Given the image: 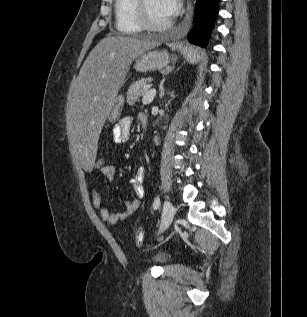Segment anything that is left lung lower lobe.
I'll return each mask as SVG.
<instances>
[{"label":"left lung lower lobe","instance_id":"0a47b994","mask_svg":"<svg viewBox=\"0 0 307 317\" xmlns=\"http://www.w3.org/2000/svg\"><path fill=\"white\" fill-rule=\"evenodd\" d=\"M219 0H197L195 23L187 38L192 44L206 47L218 14Z\"/></svg>","mask_w":307,"mask_h":317}]
</instances>
